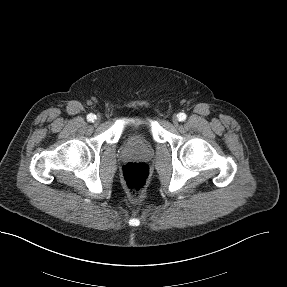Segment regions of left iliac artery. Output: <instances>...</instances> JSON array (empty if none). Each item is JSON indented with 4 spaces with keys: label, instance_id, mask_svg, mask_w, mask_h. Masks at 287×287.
<instances>
[{
    "label": "left iliac artery",
    "instance_id": "44dca946",
    "mask_svg": "<svg viewBox=\"0 0 287 287\" xmlns=\"http://www.w3.org/2000/svg\"><path fill=\"white\" fill-rule=\"evenodd\" d=\"M177 117H178V120H179V121H184L187 116H186L185 113H179V114L177 115Z\"/></svg>",
    "mask_w": 287,
    "mask_h": 287
}]
</instances>
